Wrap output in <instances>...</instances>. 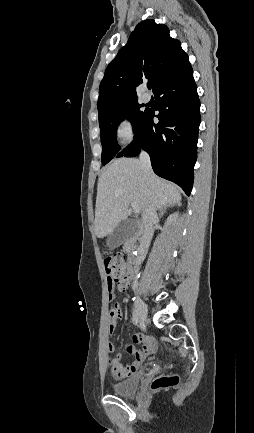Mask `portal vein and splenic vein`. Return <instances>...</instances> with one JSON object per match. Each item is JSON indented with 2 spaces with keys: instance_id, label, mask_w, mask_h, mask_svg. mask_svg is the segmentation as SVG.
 <instances>
[{
  "instance_id": "obj_1",
  "label": "portal vein and splenic vein",
  "mask_w": 254,
  "mask_h": 433,
  "mask_svg": "<svg viewBox=\"0 0 254 433\" xmlns=\"http://www.w3.org/2000/svg\"><path fill=\"white\" fill-rule=\"evenodd\" d=\"M131 207H132L134 213L137 214L140 212V207L137 204L131 203Z\"/></svg>"
}]
</instances>
